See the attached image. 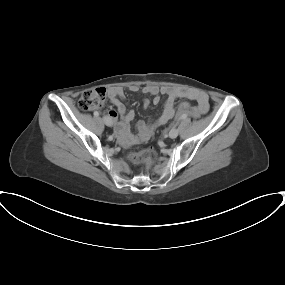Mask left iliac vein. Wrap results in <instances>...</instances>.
Segmentation results:
<instances>
[{
  "mask_svg": "<svg viewBox=\"0 0 285 285\" xmlns=\"http://www.w3.org/2000/svg\"><path fill=\"white\" fill-rule=\"evenodd\" d=\"M178 129L177 128H172L170 131H169V137L170 138H176L178 136Z\"/></svg>",
  "mask_w": 285,
  "mask_h": 285,
  "instance_id": "4c4485c4",
  "label": "left iliac vein"
}]
</instances>
